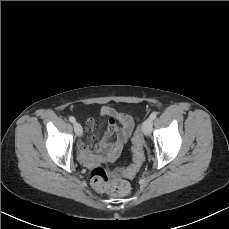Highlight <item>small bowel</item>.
<instances>
[{
    "mask_svg": "<svg viewBox=\"0 0 229 229\" xmlns=\"http://www.w3.org/2000/svg\"><path fill=\"white\" fill-rule=\"evenodd\" d=\"M100 114L108 117L109 123L98 144V153L92 152V148L96 144V136H88L85 140L81 139L77 143L78 158L80 162L88 167H95L117 158L135 126L133 116L117 112L109 106H103L100 109ZM117 122L121 124V128L117 127ZM94 125L95 122L92 118L87 119L85 131L90 132ZM112 138H115L114 142H111Z\"/></svg>",
    "mask_w": 229,
    "mask_h": 229,
    "instance_id": "1",
    "label": "small bowel"
}]
</instances>
